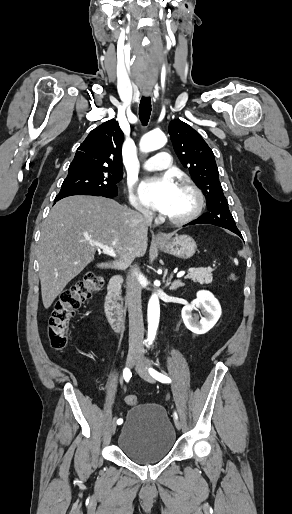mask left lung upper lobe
Listing matches in <instances>:
<instances>
[{"mask_svg":"<svg viewBox=\"0 0 292 514\" xmlns=\"http://www.w3.org/2000/svg\"><path fill=\"white\" fill-rule=\"evenodd\" d=\"M169 134L176 155L206 197L208 212L199 217L200 221L238 231L223 194L210 147L197 131L180 120L170 122Z\"/></svg>","mask_w":292,"mask_h":514,"instance_id":"1","label":"left lung upper lobe"}]
</instances>
